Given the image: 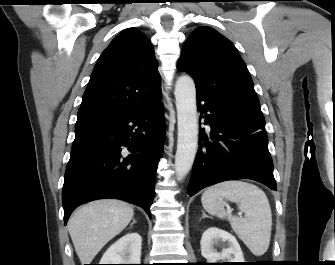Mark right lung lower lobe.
I'll list each match as a JSON object with an SVG mask.
<instances>
[{
	"instance_id": "1",
	"label": "right lung lower lobe",
	"mask_w": 335,
	"mask_h": 265,
	"mask_svg": "<svg viewBox=\"0 0 335 265\" xmlns=\"http://www.w3.org/2000/svg\"><path fill=\"white\" fill-rule=\"evenodd\" d=\"M164 137L161 99L133 112L76 126L62 191L64 223L77 206L102 198L128 201L151 217Z\"/></svg>"
}]
</instances>
